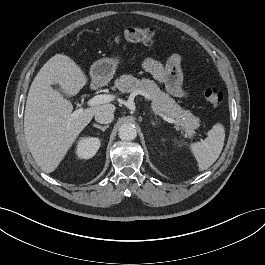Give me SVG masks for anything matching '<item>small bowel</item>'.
Here are the masks:
<instances>
[{"label":"small bowel","mask_w":265,"mask_h":265,"mask_svg":"<svg viewBox=\"0 0 265 265\" xmlns=\"http://www.w3.org/2000/svg\"><path fill=\"white\" fill-rule=\"evenodd\" d=\"M181 64V56L174 54L169 57L165 65L153 58H146L142 62V67L163 84L171 95L177 98H185L188 94L182 87Z\"/></svg>","instance_id":"obj_1"}]
</instances>
